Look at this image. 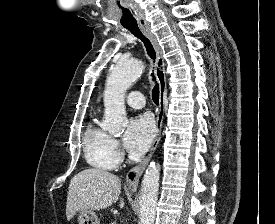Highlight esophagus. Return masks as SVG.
<instances>
[{"mask_svg": "<svg viewBox=\"0 0 275 224\" xmlns=\"http://www.w3.org/2000/svg\"><path fill=\"white\" fill-rule=\"evenodd\" d=\"M140 29L142 30L143 34L151 41L156 51L155 76L158 81L160 90L159 111L156 118L157 134L148 155L139 164L133 167L126 175V185L130 188H136L138 186L139 179L159 143L167 94L166 72L162 48L159 45L156 36L151 32L149 23L147 21L144 20L140 22Z\"/></svg>", "mask_w": 275, "mask_h": 224, "instance_id": "obj_1", "label": "esophagus"}]
</instances>
